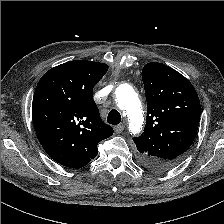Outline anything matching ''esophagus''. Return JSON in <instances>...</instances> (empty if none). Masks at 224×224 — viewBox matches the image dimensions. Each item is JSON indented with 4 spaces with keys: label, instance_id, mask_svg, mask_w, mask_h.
I'll return each mask as SVG.
<instances>
[{
    "label": "esophagus",
    "instance_id": "1",
    "mask_svg": "<svg viewBox=\"0 0 224 224\" xmlns=\"http://www.w3.org/2000/svg\"><path fill=\"white\" fill-rule=\"evenodd\" d=\"M114 130L117 134L121 133L123 130H124V125L121 124V125H117L114 127Z\"/></svg>",
    "mask_w": 224,
    "mask_h": 224
}]
</instances>
